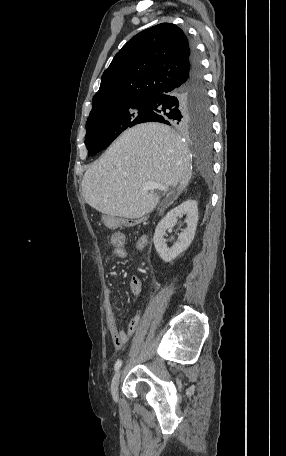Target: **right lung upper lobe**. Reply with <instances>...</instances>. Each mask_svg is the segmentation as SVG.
Returning <instances> with one entry per match:
<instances>
[{
    "label": "right lung upper lobe",
    "instance_id": "obj_1",
    "mask_svg": "<svg viewBox=\"0 0 286 456\" xmlns=\"http://www.w3.org/2000/svg\"><path fill=\"white\" fill-rule=\"evenodd\" d=\"M191 52V43L174 24L161 23L140 32L122 47L104 71L90 115L116 102L149 99L185 82Z\"/></svg>",
    "mask_w": 286,
    "mask_h": 456
}]
</instances>
